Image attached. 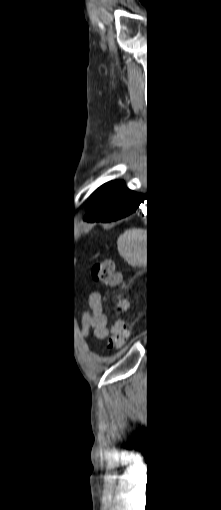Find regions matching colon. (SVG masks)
Wrapping results in <instances>:
<instances>
[{"label": "colon", "mask_w": 221, "mask_h": 510, "mask_svg": "<svg viewBox=\"0 0 221 510\" xmlns=\"http://www.w3.org/2000/svg\"><path fill=\"white\" fill-rule=\"evenodd\" d=\"M92 279L106 286H114L118 283L119 277L115 274L112 262L102 260L96 262L91 270ZM130 331L127 326L121 322H116L113 326L109 339V347L111 349H120L126 343Z\"/></svg>", "instance_id": "5ec220e1"}]
</instances>
